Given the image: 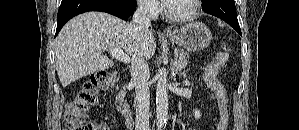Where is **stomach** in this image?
I'll return each instance as SVG.
<instances>
[{
	"label": "stomach",
	"mask_w": 299,
	"mask_h": 130,
	"mask_svg": "<svg viewBox=\"0 0 299 130\" xmlns=\"http://www.w3.org/2000/svg\"><path fill=\"white\" fill-rule=\"evenodd\" d=\"M167 37L187 51L198 52L210 44L212 34L204 23L191 22L167 34Z\"/></svg>",
	"instance_id": "obj_1"
}]
</instances>
